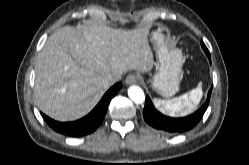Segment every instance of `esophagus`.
Wrapping results in <instances>:
<instances>
[{
	"instance_id": "34e87169",
	"label": "esophagus",
	"mask_w": 249,
	"mask_h": 165,
	"mask_svg": "<svg viewBox=\"0 0 249 165\" xmlns=\"http://www.w3.org/2000/svg\"><path fill=\"white\" fill-rule=\"evenodd\" d=\"M125 83H126L127 85H131V84L137 83V77H136V75H134V74L128 75V76L126 77V79H125Z\"/></svg>"
}]
</instances>
